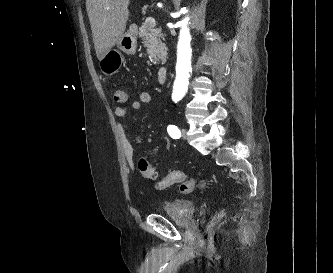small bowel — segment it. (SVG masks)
I'll return each instance as SVG.
<instances>
[{
	"label": "small bowel",
	"instance_id": "obj_1",
	"mask_svg": "<svg viewBox=\"0 0 333 273\" xmlns=\"http://www.w3.org/2000/svg\"><path fill=\"white\" fill-rule=\"evenodd\" d=\"M152 101V94L149 91H142L138 95V99L133 100L131 102V109L134 111H139L143 105L149 104ZM115 116L117 118L123 119L128 114V108L125 105H118L114 109ZM122 148L124 151L125 158L127 163L134 171H139L138 161H136V152L135 148L131 142L130 137L126 133L125 129L120 126L119 127Z\"/></svg>",
	"mask_w": 333,
	"mask_h": 273
}]
</instances>
